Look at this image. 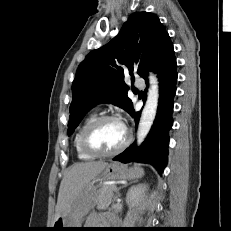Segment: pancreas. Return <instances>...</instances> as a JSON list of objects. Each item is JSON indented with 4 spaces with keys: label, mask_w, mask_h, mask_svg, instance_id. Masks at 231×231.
Returning <instances> with one entry per match:
<instances>
[{
    "label": "pancreas",
    "mask_w": 231,
    "mask_h": 231,
    "mask_svg": "<svg viewBox=\"0 0 231 231\" xmlns=\"http://www.w3.org/2000/svg\"><path fill=\"white\" fill-rule=\"evenodd\" d=\"M114 186H103L98 190L97 193V205L99 208H107L111 202L113 201L114 197V191L113 190Z\"/></svg>",
    "instance_id": "pancreas-1"
}]
</instances>
